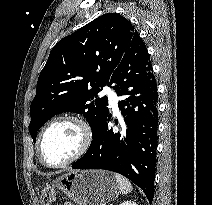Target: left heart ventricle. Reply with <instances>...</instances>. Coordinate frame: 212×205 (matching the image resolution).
<instances>
[{
	"mask_svg": "<svg viewBox=\"0 0 212 205\" xmlns=\"http://www.w3.org/2000/svg\"><path fill=\"white\" fill-rule=\"evenodd\" d=\"M81 134L78 127L70 122L52 126L44 136L42 154L51 164H57L71 157L79 148Z\"/></svg>",
	"mask_w": 212,
	"mask_h": 205,
	"instance_id": "1",
	"label": "left heart ventricle"
}]
</instances>
